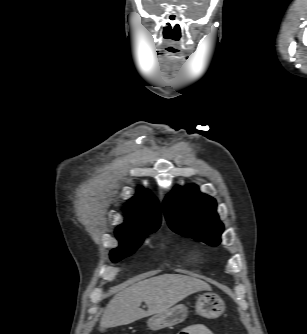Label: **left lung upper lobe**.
<instances>
[{"label": "left lung upper lobe", "mask_w": 307, "mask_h": 334, "mask_svg": "<svg viewBox=\"0 0 307 334\" xmlns=\"http://www.w3.org/2000/svg\"><path fill=\"white\" fill-rule=\"evenodd\" d=\"M163 210L168 225L177 234L211 246L220 243L224 227L216 213V201L196 185L176 186L166 196Z\"/></svg>", "instance_id": "1"}]
</instances>
